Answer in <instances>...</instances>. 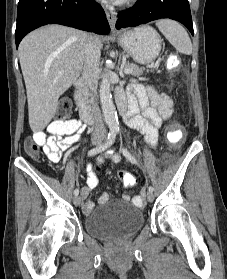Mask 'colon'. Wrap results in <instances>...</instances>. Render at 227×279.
I'll list each match as a JSON object with an SVG mask.
<instances>
[{
	"mask_svg": "<svg viewBox=\"0 0 227 279\" xmlns=\"http://www.w3.org/2000/svg\"><path fill=\"white\" fill-rule=\"evenodd\" d=\"M71 108H72L71 103L69 101H63L60 104V108H59L60 116L58 121L61 123L60 124L61 128L68 129L67 122H68L69 114L71 112ZM172 134L179 136V134L174 132ZM25 149L30 156L34 158L39 157V147L36 143L32 141H27L25 144ZM118 178L124 186H135L137 184L136 177L132 173L127 171H120L118 173ZM143 201H144L143 197L138 196L134 202L135 205L140 206L143 203Z\"/></svg>",
	"mask_w": 227,
	"mask_h": 279,
	"instance_id": "5ec220e1",
	"label": "colon"
}]
</instances>
